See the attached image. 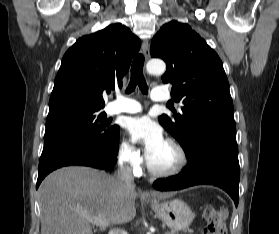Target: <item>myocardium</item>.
Here are the masks:
<instances>
[{
  "label": "myocardium",
  "mask_w": 279,
  "mask_h": 234,
  "mask_svg": "<svg viewBox=\"0 0 279 234\" xmlns=\"http://www.w3.org/2000/svg\"><path fill=\"white\" fill-rule=\"evenodd\" d=\"M166 143H168L169 145H171L177 153L178 156V160L177 163L169 168V169H157L155 167L152 166V164L150 163L149 159L146 158V166L147 169L149 171V173L157 178H171L174 177L176 175H178L179 173H181L184 168L186 167L187 163H188V156L186 153V150L184 149V147L182 146V144L177 141L174 138H167L165 140Z\"/></svg>",
  "instance_id": "1"
}]
</instances>
